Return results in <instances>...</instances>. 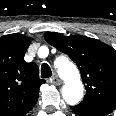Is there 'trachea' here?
<instances>
[{"instance_id":"1","label":"trachea","mask_w":116,"mask_h":116,"mask_svg":"<svg viewBox=\"0 0 116 116\" xmlns=\"http://www.w3.org/2000/svg\"><path fill=\"white\" fill-rule=\"evenodd\" d=\"M52 76L51 69L47 63H43L41 66V77L42 78H49Z\"/></svg>"}]
</instances>
